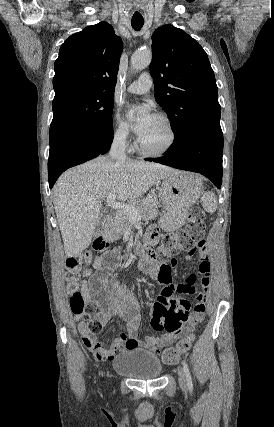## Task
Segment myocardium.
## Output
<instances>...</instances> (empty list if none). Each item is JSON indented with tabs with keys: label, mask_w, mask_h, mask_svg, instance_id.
Wrapping results in <instances>:
<instances>
[{
	"label": "myocardium",
	"mask_w": 274,
	"mask_h": 427,
	"mask_svg": "<svg viewBox=\"0 0 274 427\" xmlns=\"http://www.w3.org/2000/svg\"><path fill=\"white\" fill-rule=\"evenodd\" d=\"M154 117H156L161 122H163L166 125V127L168 128L169 133H170L169 143L162 150L154 152V151H149V150L145 149L140 144V141H139V138H138L137 142H136V149L144 157H147V158H162V157L168 155L172 151V149L176 145L178 135H177V130L175 128L174 123L172 122V120L167 115L161 114V113H157V114L154 115Z\"/></svg>",
	"instance_id": "1"
}]
</instances>
